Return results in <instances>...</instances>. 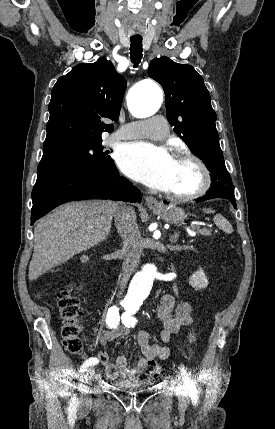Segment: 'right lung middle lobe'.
<instances>
[{
	"label": "right lung middle lobe",
	"mask_w": 275,
	"mask_h": 429,
	"mask_svg": "<svg viewBox=\"0 0 275 429\" xmlns=\"http://www.w3.org/2000/svg\"><path fill=\"white\" fill-rule=\"evenodd\" d=\"M101 142L73 144L43 155L37 167V181L68 171L116 169L109 152L103 151Z\"/></svg>",
	"instance_id": "right-lung-middle-lobe-1"
}]
</instances>
